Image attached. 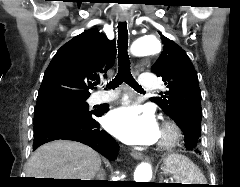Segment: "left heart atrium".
<instances>
[{
    "label": "left heart atrium",
    "instance_id": "1",
    "mask_svg": "<svg viewBox=\"0 0 240 187\" xmlns=\"http://www.w3.org/2000/svg\"><path fill=\"white\" fill-rule=\"evenodd\" d=\"M106 129L121 141L132 145H150L160 136V129L151 112L139 113L122 107L105 118Z\"/></svg>",
    "mask_w": 240,
    "mask_h": 187
}]
</instances>
